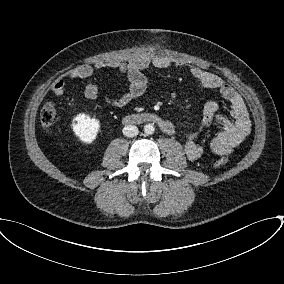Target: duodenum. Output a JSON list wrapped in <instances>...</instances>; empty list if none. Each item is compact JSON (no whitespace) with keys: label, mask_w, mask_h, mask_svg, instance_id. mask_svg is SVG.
<instances>
[{"label":"duodenum","mask_w":284,"mask_h":284,"mask_svg":"<svg viewBox=\"0 0 284 284\" xmlns=\"http://www.w3.org/2000/svg\"><path fill=\"white\" fill-rule=\"evenodd\" d=\"M125 124H141V123H153L159 126V128L166 134H172L174 131L173 124L156 113H138L130 114L123 119Z\"/></svg>","instance_id":"duodenum-1"}]
</instances>
